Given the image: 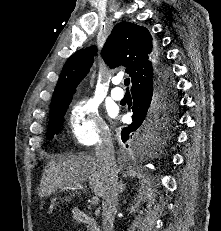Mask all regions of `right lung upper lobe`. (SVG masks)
<instances>
[{"instance_id":"obj_1","label":"right lung upper lobe","mask_w":221,"mask_h":231,"mask_svg":"<svg viewBox=\"0 0 221 231\" xmlns=\"http://www.w3.org/2000/svg\"><path fill=\"white\" fill-rule=\"evenodd\" d=\"M95 53V46L81 49L66 61L53 93L50 112L72 99L76 86L88 73ZM159 54L145 27L125 21L114 27L102 50V57L111 68L127 67L126 72L132 79L131 91L153 82Z\"/></svg>"}]
</instances>
